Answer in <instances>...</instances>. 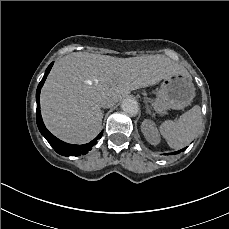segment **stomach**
<instances>
[{
	"label": "stomach",
	"mask_w": 229,
	"mask_h": 229,
	"mask_svg": "<svg viewBox=\"0 0 229 229\" xmlns=\"http://www.w3.org/2000/svg\"><path fill=\"white\" fill-rule=\"evenodd\" d=\"M195 97V87L190 75L174 74L163 79L152 105L161 115L168 109L180 110L188 106Z\"/></svg>",
	"instance_id": "obj_1"
}]
</instances>
